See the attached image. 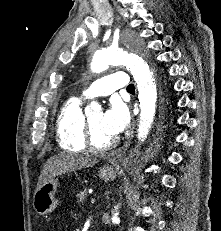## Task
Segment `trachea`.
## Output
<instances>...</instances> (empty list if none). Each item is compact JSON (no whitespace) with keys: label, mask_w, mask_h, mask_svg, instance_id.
<instances>
[{"label":"trachea","mask_w":221,"mask_h":231,"mask_svg":"<svg viewBox=\"0 0 221 231\" xmlns=\"http://www.w3.org/2000/svg\"><path fill=\"white\" fill-rule=\"evenodd\" d=\"M134 89H135L134 84H130V85L127 87V90H128V91H132V90H134Z\"/></svg>","instance_id":"1"}]
</instances>
